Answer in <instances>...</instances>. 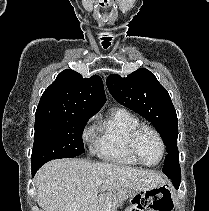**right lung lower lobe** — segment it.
<instances>
[{
    "label": "right lung lower lobe",
    "mask_w": 209,
    "mask_h": 211,
    "mask_svg": "<svg viewBox=\"0 0 209 211\" xmlns=\"http://www.w3.org/2000/svg\"><path fill=\"white\" fill-rule=\"evenodd\" d=\"M40 167H32V175L34 176V174L36 173V171L39 169Z\"/></svg>",
    "instance_id": "obj_1"
}]
</instances>
